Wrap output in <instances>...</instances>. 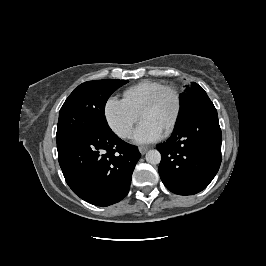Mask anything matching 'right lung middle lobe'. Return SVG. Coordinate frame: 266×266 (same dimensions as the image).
I'll return each mask as SVG.
<instances>
[{
	"instance_id": "1",
	"label": "right lung middle lobe",
	"mask_w": 266,
	"mask_h": 266,
	"mask_svg": "<svg viewBox=\"0 0 266 266\" xmlns=\"http://www.w3.org/2000/svg\"><path fill=\"white\" fill-rule=\"evenodd\" d=\"M127 80L106 79L80 84L68 96L59 112L57 126V149L66 144L107 130L104 108L110 95Z\"/></svg>"
}]
</instances>
